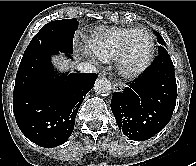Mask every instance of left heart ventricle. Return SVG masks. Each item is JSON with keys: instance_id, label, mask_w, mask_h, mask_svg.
Masks as SVG:
<instances>
[{"instance_id": "left-heart-ventricle-1", "label": "left heart ventricle", "mask_w": 196, "mask_h": 166, "mask_svg": "<svg viewBox=\"0 0 196 166\" xmlns=\"http://www.w3.org/2000/svg\"><path fill=\"white\" fill-rule=\"evenodd\" d=\"M150 40L145 32H137L130 42V61L133 65L140 63L147 55Z\"/></svg>"}]
</instances>
